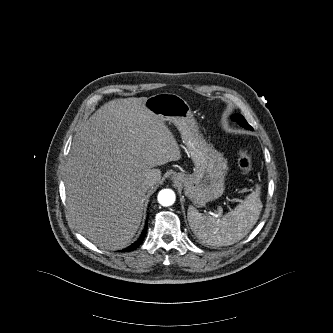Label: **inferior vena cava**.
I'll list each match as a JSON object with an SVG mask.
<instances>
[{"label": "inferior vena cava", "mask_w": 333, "mask_h": 333, "mask_svg": "<svg viewBox=\"0 0 333 333\" xmlns=\"http://www.w3.org/2000/svg\"><path fill=\"white\" fill-rule=\"evenodd\" d=\"M158 179H159L158 173L155 170H152L147 174L145 185L151 187L157 183Z\"/></svg>", "instance_id": "obj_1"}]
</instances>
